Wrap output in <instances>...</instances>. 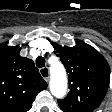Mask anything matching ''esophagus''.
Returning a JSON list of instances; mask_svg holds the SVG:
<instances>
[{
	"mask_svg": "<svg viewBox=\"0 0 112 112\" xmlns=\"http://www.w3.org/2000/svg\"><path fill=\"white\" fill-rule=\"evenodd\" d=\"M39 72H40V74L42 75V77L44 78V80H45L46 82H49V79H50V77H49V69H48L47 67L41 68V69L39 70Z\"/></svg>",
	"mask_w": 112,
	"mask_h": 112,
	"instance_id": "esophagus-1",
	"label": "esophagus"
}]
</instances>
